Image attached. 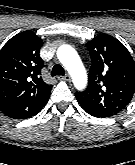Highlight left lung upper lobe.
<instances>
[{"label":"left lung upper lobe","mask_w":135,"mask_h":165,"mask_svg":"<svg viewBox=\"0 0 135 165\" xmlns=\"http://www.w3.org/2000/svg\"><path fill=\"white\" fill-rule=\"evenodd\" d=\"M86 45L92 60L89 82L76 98L83 107L113 116L135 92V63L126 47L110 35L95 36Z\"/></svg>","instance_id":"1"}]
</instances>
